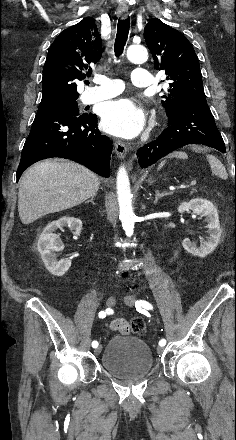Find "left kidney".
<instances>
[{
  "mask_svg": "<svg viewBox=\"0 0 236 440\" xmlns=\"http://www.w3.org/2000/svg\"><path fill=\"white\" fill-rule=\"evenodd\" d=\"M192 210L194 214L206 217L208 237L202 242L200 247L185 238L182 242L184 249L194 256L201 258L212 253L220 242L222 229L220 227L217 209L210 201L202 198H195L189 202H183L178 207L179 213Z\"/></svg>",
  "mask_w": 236,
  "mask_h": 440,
  "instance_id": "1",
  "label": "left kidney"
}]
</instances>
